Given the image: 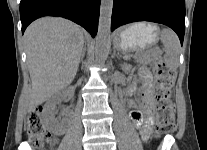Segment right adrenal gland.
<instances>
[{
  "label": "right adrenal gland",
  "mask_w": 207,
  "mask_h": 150,
  "mask_svg": "<svg viewBox=\"0 0 207 150\" xmlns=\"http://www.w3.org/2000/svg\"><path fill=\"white\" fill-rule=\"evenodd\" d=\"M85 50H86V46H84V48L82 50V54H81V57H80V61L79 62H82L83 61V58L85 56Z\"/></svg>",
  "instance_id": "right-adrenal-gland-1"
}]
</instances>
